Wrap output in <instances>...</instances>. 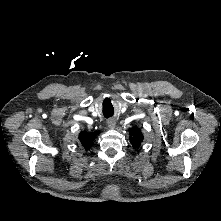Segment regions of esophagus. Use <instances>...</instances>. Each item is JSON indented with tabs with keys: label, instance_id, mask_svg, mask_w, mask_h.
<instances>
[{
	"label": "esophagus",
	"instance_id": "esophagus-1",
	"mask_svg": "<svg viewBox=\"0 0 221 221\" xmlns=\"http://www.w3.org/2000/svg\"><path fill=\"white\" fill-rule=\"evenodd\" d=\"M107 124H108V127L110 129H115V127H116V120L110 119V120H108Z\"/></svg>",
	"mask_w": 221,
	"mask_h": 221
}]
</instances>
